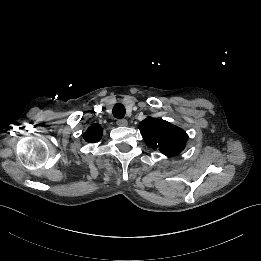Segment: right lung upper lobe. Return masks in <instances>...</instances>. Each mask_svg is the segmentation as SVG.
I'll return each mask as SVG.
<instances>
[{
    "label": "right lung upper lobe",
    "mask_w": 261,
    "mask_h": 261,
    "mask_svg": "<svg viewBox=\"0 0 261 261\" xmlns=\"http://www.w3.org/2000/svg\"><path fill=\"white\" fill-rule=\"evenodd\" d=\"M103 129L99 124H92L91 127L84 133V139L87 142H97L102 137Z\"/></svg>",
    "instance_id": "obj_1"
}]
</instances>
